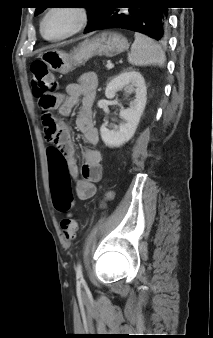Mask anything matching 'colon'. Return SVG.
<instances>
[{
  "instance_id": "1",
  "label": "colon",
  "mask_w": 213,
  "mask_h": 338,
  "mask_svg": "<svg viewBox=\"0 0 213 338\" xmlns=\"http://www.w3.org/2000/svg\"><path fill=\"white\" fill-rule=\"evenodd\" d=\"M33 74L32 90L37 98L38 107L45 127V135L57 132L56 122L52 115L57 99L56 92L59 82L56 76L50 72L46 64L36 60L31 64ZM57 138V137H56ZM53 204L59 211H67L73 205V194L63 179H56L52 186ZM62 234L66 240L75 238L78 231L77 221L72 217H65L61 221Z\"/></svg>"
}]
</instances>
